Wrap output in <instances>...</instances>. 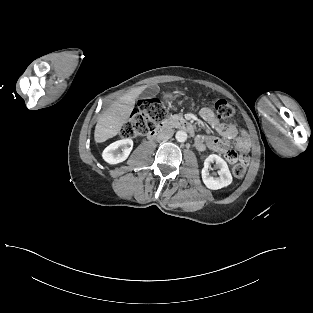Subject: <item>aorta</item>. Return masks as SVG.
<instances>
[{"label":"aorta","instance_id":"1","mask_svg":"<svg viewBox=\"0 0 313 313\" xmlns=\"http://www.w3.org/2000/svg\"><path fill=\"white\" fill-rule=\"evenodd\" d=\"M175 138L178 142H185L187 140V133L183 130H179L176 132Z\"/></svg>","mask_w":313,"mask_h":313}]
</instances>
